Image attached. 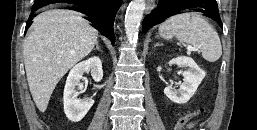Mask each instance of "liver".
Here are the masks:
<instances>
[{
    "mask_svg": "<svg viewBox=\"0 0 257 130\" xmlns=\"http://www.w3.org/2000/svg\"><path fill=\"white\" fill-rule=\"evenodd\" d=\"M98 32L71 10H48L33 20L23 45L30 92L41 112L59 80L97 44Z\"/></svg>",
    "mask_w": 257,
    "mask_h": 130,
    "instance_id": "obj_1",
    "label": "liver"
}]
</instances>
